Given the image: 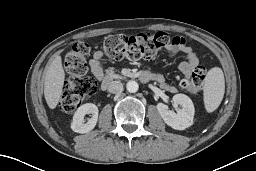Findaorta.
Masks as SVG:
<instances>
[{"label": "aorta", "mask_w": 256, "mask_h": 171, "mask_svg": "<svg viewBox=\"0 0 256 171\" xmlns=\"http://www.w3.org/2000/svg\"><path fill=\"white\" fill-rule=\"evenodd\" d=\"M126 88L127 91L130 93H135L138 91L139 85L136 81L130 80L127 84H126Z\"/></svg>", "instance_id": "1"}]
</instances>
